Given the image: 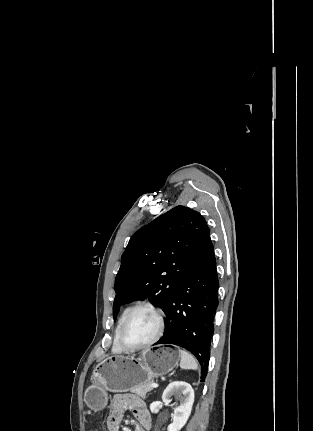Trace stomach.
Segmentation results:
<instances>
[{
    "mask_svg": "<svg viewBox=\"0 0 313 431\" xmlns=\"http://www.w3.org/2000/svg\"><path fill=\"white\" fill-rule=\"evenodd\" d=\"M180 351L154 346L134 356L113 355L103 359L92 374V385L84 394L87 406L95 412L105 408L107 392H125L151 383L154 378L167 374L178 365Z\"/></svg>",
    "mask_w": 313,
    "mask_h": 431,
    "instance_id": "1",
    "label": "stomach"
}]
</instances>
